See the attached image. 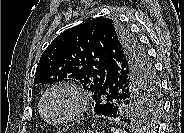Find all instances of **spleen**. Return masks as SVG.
<instances>
[{"instance_id":"obj_1","label":"spleen","mask_w":184,"mask_h":133,"mask_svg":"<svg viewBox=\"0 0 184 133\" xmlns=\"http://www.w3.org/2000/svg\"><path fill=\"white\" fill-rule=\"evenodd\" d=\"M113 133H123L122 130L119 129H112Z\"/></svg>"}]
</instances>
